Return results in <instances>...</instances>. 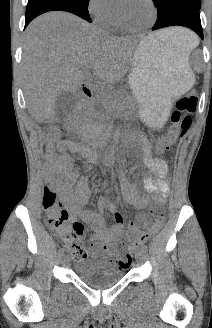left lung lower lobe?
I'll return each instance as SVG.
<instances>
[{
    "label": "left lung lower lobe",
    "instance_id": "obj_1",
    "mask_svg": "<svg viewBox=\"0 0 212 328\" xmlns=\"http://www.w3.org/2000/svg\"><path fill=\"white\" fill-rule=\"evenodd\" d=\"M175 25L188 27L203 39L199 9L193 4L184 0L167 2L163 10L158 11V19L152 30Z\"/></svg>",
    "mask_w": 212,
    "mask_h": 328
}]
</instances>
